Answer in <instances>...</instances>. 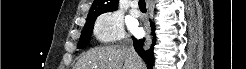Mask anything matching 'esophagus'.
I'll use <instances>...</instances> for the list:
<instances>
[{"mask_svg": "<svg viewBox=\"0 0 246 69\" xmlns=\"http://www.w3.org/2000/svg\"><path fill=\"white\" fill-rule=\"evenodd\" d=\"M151 43L150 37H149V32L147 31V42L145 44V48H148Z\"/></svg>", "mask_w": 246, "mask_h": 69, "instance_id": "esophagus-1", "label": "esophagus"}]
</instances>
